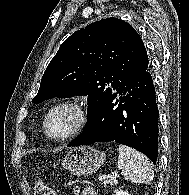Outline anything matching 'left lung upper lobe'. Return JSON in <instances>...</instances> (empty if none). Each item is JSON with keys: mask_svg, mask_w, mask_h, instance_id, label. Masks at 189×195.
<instances>
[{"mask_svg": "<svg viewBox=\"0 0 189 195\" xmlns=\"http://www.w3.org/2000/svg\"><path fill=\"white\" fill-rule=\"evenodd\" d=\"M147 68V51L136 30L117 18L102 19L63 42L32 102L88 95L91 118L118 87Z\"/></svg>", "mask_w": 189, "mask_h": 195, "instance_id": "left-lung-upper-lobe-1", "label": "left lung upper lobe"}]
</instances>
